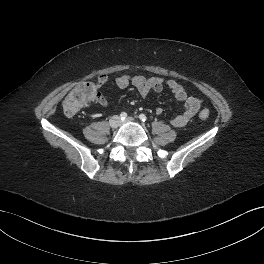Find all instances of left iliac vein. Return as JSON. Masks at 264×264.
Listing matches in <instances>:
<instances>
[{
    "instance_id": "4c4485c4",
    "label": "left iliac vein",
    "mask_w": 264,
    "mask_h": 264,
    "mask_svg": "<svg viewBox=\"0 0 264 264\" xmlns=\"http://www.w3.org/2000/svg\"><path fill=\"white\" fill-rule=\"evenodd\" d=\"M135 119L132 117H128L124 122H134Z\"/></svg>"
}]
</instances>
